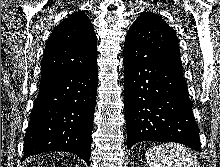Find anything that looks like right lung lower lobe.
Returning a JSON list of instances; mask_svg holds the SVG:
<instances>
[{
    "label": "right lung lower lobe",
    "instance_id": "98d812e1",
    "mask_svg": "<svg viewBox=\"0 0 220 167\" xmlns=\"http://www.w3.org/2000/svg\"><path fill=\"white\" fill-rule=\"evenodd\" d=\"M97 81L96 64L40 83L22 160L49 151H65L89 164Z\"/></svg>",
    "mask_w": 220,
    "mask_h": 167
}]
</instances>
